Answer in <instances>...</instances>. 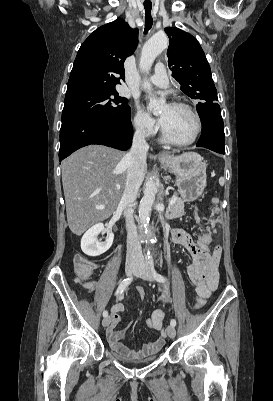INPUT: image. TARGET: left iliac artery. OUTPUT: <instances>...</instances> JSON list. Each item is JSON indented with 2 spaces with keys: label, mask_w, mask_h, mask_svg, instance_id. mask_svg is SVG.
I'll list each match as a JSON object with an SVG mask.
<instances>
[{
  "label": "left iliac artery",
  "mask_w": 273,
  "mask_h": 401,
  "mask_svg": "<svg viewBox=\"0 0 273 401\" xmlns=\"http://www.w3.org/2000/svg\"><path fill=\"white\" fill-rule=\"evenodd\" d=\"M150 268H151V271H152V274H153L154 278H155L158 282L164 283V282L166 281V279L164 278V276H162L161 274H159V273H157V272L155 271V269H154V264H153V259H150ZM170 324H171V326L175 327V325H176V320H175V319H172L171 322H170Z\"/></svg>",
  "instance_id": "obj_1"
}]
</instances>
